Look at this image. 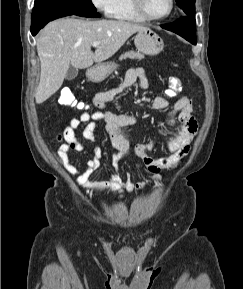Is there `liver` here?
<instances>
[{"label":"liver","mask_w":243,"mask_h":289,"mask_svg":"<svg viewBox=\"0 0 243 289\" xmlns=\"http://www.w3.org/2000/svg\"><path fill=\"white\" fill-rule=\"evenodd\" d=\"M146 27L120 20L62 18L48 23L37 38L41 73L35 92L37 104L62 86L71 66L85 69L112 57L136 32ZM99 46L93 53L92 43Z\"/></svg>","instance_id":"6515ba94"}]
</instances>
